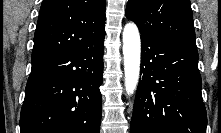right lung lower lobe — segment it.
<instances>
[{
	"label": "right lung lower lobe",
	"mask_w": 221,
	"mask_h": 133,
	"mask_svg": "<svg viewBox=\"0 0 221 133\" xmlns=\"http://www.w3.org/2000/svg\"><path fill=\"white\" fill-rule=\"evenodd\" d=\"M104 36L76 49L32 57L21 133H99Z\"/></svg>",
	"instance_id": "right-lung-lower-lobe-1"
}]
</instances>
